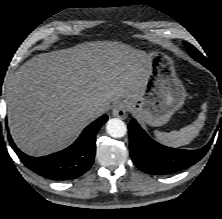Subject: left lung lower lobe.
<instances>
[{
  "label": "left lung lower lobe",
  "mask_w": 222,
  "mask_h": 219,
  "mask_svg": "<svg viewBox=\"0 0 222 219\" xmlns=\"http://www.w3.org/2000/svg\"><path fill=\"white\" fill-rule=\"evenodd\" d=\"M192 57L212 71L207 59L198 55ZM128 129L130 155L134 164L143 172L153 175L171 174L195 164L206 154L214 139L212 137L206 146L197 150H180L153 141L135 119L131 120Z\"/></svg>",
  "instance_id": "left-lung-lower-lobe-1"
}]
</instances>
